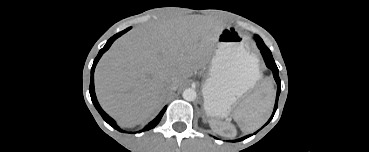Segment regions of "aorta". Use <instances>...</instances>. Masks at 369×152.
Segmentation results:
<instances>
[{
	"label": "aorta",
	"instance_id": "aorta-1",
	"mask_svg": "<svg viewBox=\"0 0 369 152\" xmlns=\"http://www.w3.org/2000/svg\"><path fill=\"white\" fill-rule=\"evenodd\" d=\"M182 97L187 101H194L197 97V93L193 88H187L183 91Z\"/></svg>",
	"mask_w": 369,
	"mask_h": 152
}]
</instances>
